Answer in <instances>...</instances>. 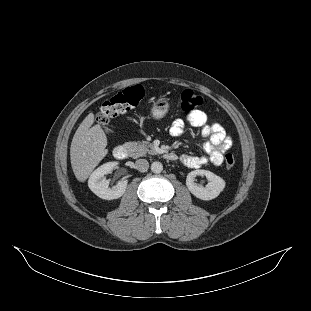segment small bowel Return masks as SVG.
Wrapping results in <instances>:
<instances>
[{
	"label": "small bowel",
	"mask_w": 311,
	"mask_h": 311,
	"mask_svg": "<svg viewBox=\"0 0 311 311\" xmlns=\"http://www.w3.org/2000/svg\"><path fill=\"white\" fill-rule=\"evenodd\" d=\"M187 122L200 129L201 136L206 138L203 144L204 155L183 154L181 163L188 168H200L208 162L219 166L223 162L224 153L232 146V140L227 135L223 126L219 123H209L207 114L201 110L191 112ZM185 123L182 119H176L170 126V134L180 136L184 131Z\"/></svg>",
	"instance_id": "obj_1"
}]
</instances>
